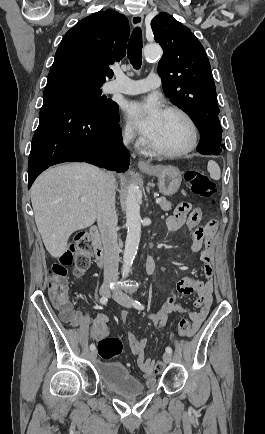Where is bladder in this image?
Instances as JSON below:
<instances>
[{"label": "bladder", "instance_id": "1", "mask_svg": "<svg viewBox=\"0 0 265 434\" xmlns=\"http://www.w3.org/2000/svg\"><path fill=\"white\" fill-rule=\"evenodd\" d=\"M96 370L100 379L122 397L135 398L146 391V387L120 362L100 361Z\"/></svg>", "mask_w": 265, "mask_h": 434}]
</instances>
